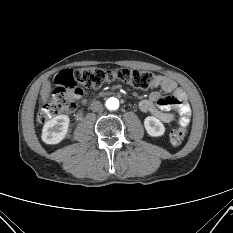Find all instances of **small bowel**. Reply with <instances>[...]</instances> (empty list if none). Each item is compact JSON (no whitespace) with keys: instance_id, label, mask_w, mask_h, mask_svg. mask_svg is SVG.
<instances>
[{"instance_id":"obj_1","label":"small bowel","mask_w":233,"mask_h":233,"mask_svg":"<svg viewBox=\"0 0 233 233\" xmlns=\"http://www.w3.org/2000/svg\"><path fill=\"white\" fill-rule=\"evenodd\" d=\"M158 87L171 95L166 96L160 91H152L147 99L139 103L140 110L150 113L164 123L177 122L179 126L187 127L190 123L191 108L186 92L165 76L157 77L152 88Z\"/></svg>"}]
</instances>
